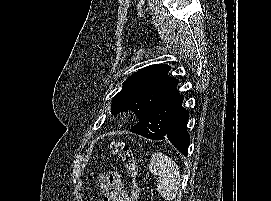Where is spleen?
<instances>
[{
	"instance_id": "spleen-1",
	"label": "spleen",
	"mask_w": 271,
	"mask_h": 201,
	"mask_svg": "<svg viewBox=\"0 0 271 201\" xmlns=\"http://www.w3.org/2000/svg\"><path fill=\"white\" fill-rule=\"evenodd\" d=\"M149 170L158 176L156 185L158 193L165 200L173 201L181 183L180 171L176 162L161 152H155L152 154Z\"/></svg>"
}]
</instances>
